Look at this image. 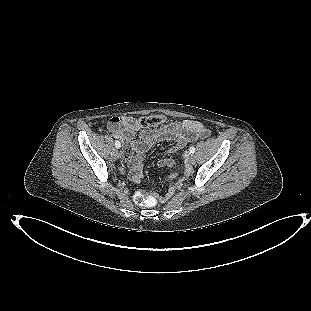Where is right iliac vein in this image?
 Returning <instances> with one entry per match:
<instances>
[{"label":"right iliac vein","instance_id":"1","mask_svg":"<svg viewBox=\"0 0 311 311\" xmlns=\"http://www.w3.org/2000/svg\"><path fill=\"white\" fill-rule=\"evenodd\" d=\"M113 157H117L118 156V151L116 149H114L112 151V154H111Z\"/></svg>","mask_w":311,"mask_h":311}]
</instances>
